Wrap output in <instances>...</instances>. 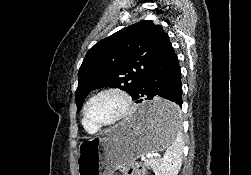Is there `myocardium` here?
<instances>
[{
    "label": "myocardium",
    "instance_id": "1",
    "mask_svg": "<svg viewBox=\"0 0 251 175\" xmlns=\"http://www.w3.org/2000/svg\"><path fill=\"white\" fill-rule=\"evenodd\" d=\"M106 92H117L119 93L123 100H124V103H125V112L124 114L115 122L111 123V124H108V125H100V124H97V123H93L92 124V127L98 131L100 130H106V129H110V128H114L116 126H119L120 124L124 123L125 121H127L133 114L134 112V103H133V100H132V97L130 96V94L124 89V88H121V87H118V86H110V87H106V88H103L99 91H97L96 93H94L86 102L85 106H84V109H83V122L84 123H87L88 122V109H89V106L91 104V102L99 95L103 94V93H106Z\"/></svg>",
    "mask_w": 251,
    "mask_h": 175
}]
</instances>
